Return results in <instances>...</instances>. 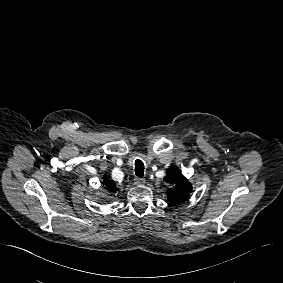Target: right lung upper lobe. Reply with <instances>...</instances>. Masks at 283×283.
Masks as SVG:
<instances>
[{
    "label": "right lung upper lobe",
    "instance_id": "1",
    "mask_svg": "<svg viewBox=\"0 0 283 283\" xmlns=\"http://www.w3.org/2000/svg\"><path fill=\"white\" fill-rule=\"evenodd\" d=\"M104 188H106L109 191H112L116 188V185L114 182L110 181L107 176H105L104 178V184H103Z\"/></svg>",
    "mask_w": 283,
    "mask_h": 283
}]
</instances>
